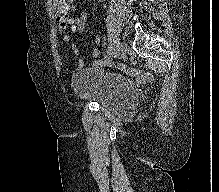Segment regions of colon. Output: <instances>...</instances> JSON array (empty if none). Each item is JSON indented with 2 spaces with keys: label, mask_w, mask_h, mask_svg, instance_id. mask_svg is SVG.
<instances>
[{
  "label": "colon",
  "mask_w": 219,
  "mask_h": 192,
  "mask_svg": "<svg viewBox=\"0 0 219 192\" xmlns=\"http://www.w3.org/2000/svg\"><path fill=\"white\" fill-rule=\"evenodd\" d=\"M53 3L55 7H61L64 5L65 0H53Z\"/></svg>",
  "instance_id": "colon-1"
}]
</instances>
